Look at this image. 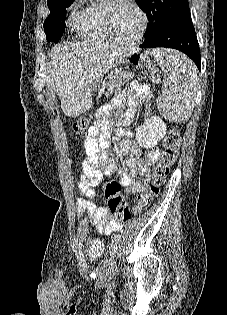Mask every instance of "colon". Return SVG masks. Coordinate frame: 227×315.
Here are the masks:
<instances>
[{"mask_svg":"<svg viewBox=\"0 0 227 315\" xmlns=\"http://www.w3.org/2000/svg\"><path fill=\"white\" fill-rule=\"evenodd\" d=\"M133 64L136 66L144 65L151 70L154 82L159 81V71L144 58H135ZM90 120L87 117L77 118L72 126L76 136L85 137L90 131ZM181 134L178 129L171 128L164 140V149L161 152L159 161L153 166L151 178L146 188L141 191L136 198L135 204L130 208L123 201L121 185L116 180L107 182L104 188V196L108 200V208L120 223H127L133 215L140 213L147 208L151 202L159 195L162 186L169 174L171 167L178 158Z\"/></svg>","mask_w":227,"mask_h":315,"instance_id":"colon-1","label":"colon"}]
</instances>
